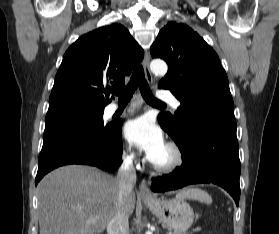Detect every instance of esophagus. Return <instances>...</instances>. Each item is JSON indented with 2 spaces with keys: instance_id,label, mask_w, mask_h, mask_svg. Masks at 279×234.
<instances>
[{
  "instance_id": "obj_1",
  "label": "esophagus",
  "mask_w": 279,
  "mask_h": 234,
  "mask_svg": "<svg viewBox=\"0 0 279 234\" xmlns=\"http://www.w3.org/2000/svg\"><path fill=\"white\" fill-rule=\"evenodd\" d=\"M149 63H150V55L146 51L144 55V60H143V66H144V72H145V77L148 81L149 84H153V77L149 68ZM141 198L147 199V200H153L154 195L152 194L150 188L146 185L145 182H142L140 185V192H139Z\"/></svg>"
}]
</instances>
